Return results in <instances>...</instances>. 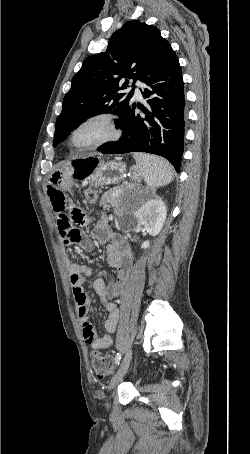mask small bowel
Wrapping results in <instances>:
<instances>
[{
    "mask_svg": "<svg viewBox=\"0 0 250 454\" xmlns=\"http://www.w3.org/2000/svg\"><path fill=\"white\" fill-rule=\"evenodd\" d=\"M77 189V182L66 174L54 173L47 182V194L63 242L68 245L77 243L83 250L91 252L94 248L93 240L88 234L78 229L79 225H85L89 220L74 203L73 196ZM93 237L99 242H108L106 246L107 262L116 272L109 283L102 277L96 278L93 283L95 294L108 311L105 322L106 334L98 335L88 317L90 298L84 287V279L92 275L91 268L86 265L67 262V269L83 337L93 349L104 350L113 344V334L119 320V309L116 301L126 284L132 258L126 243L110 232L105 221H100L96 225L93 230Z\"/></svg>",
    "mask_w": 250,
    "mask_h": 454,
    "instance_id": "small-bowel-1",
    "label": "small bowel"
}]
</instances>
